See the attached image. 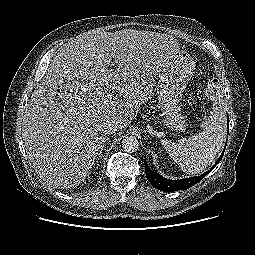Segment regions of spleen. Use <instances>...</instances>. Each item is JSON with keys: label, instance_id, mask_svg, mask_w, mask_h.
Masks as SVG:
<instances>
[{"label": "spleen", "instance_id": "obj_1", "mask_svg": "<svg viewBox=\"0 0 255 255\" xmlns=\"http://www.w3.org/2000/svg\"><path fill=\"white\" fill-rule=\"evenodd\" d=\"M226 136L223 113L215 112L205 122V130L187 139L186 144L162 140L169 156L187 174H197L208 167L221 150Z\"/></svg>", "mask_w": 255, "mask_h": 255}]
</instances>
